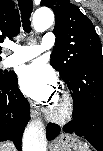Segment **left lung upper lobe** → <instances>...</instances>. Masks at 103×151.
I'll return each mask as SVG.
<instances>
[{"instance_id":"left-lung-upper-lobe-1","label":"left lung upper lobe","mask_w":103,"mask_h":151,"mask_svg":"<svg viewBox=\"0 0 103 151\" xmlns=\"http://www.w3.org/2000/svg\"><path fill=\"white\" fill-rule=\"evenodd\" d=\"M41 6L51 8L55 14L56 42L50 64L66 83L74 74L89 79L90 61H103L100 39L92 22L69 0H41Z\"/></svg>"}]
</instances>
